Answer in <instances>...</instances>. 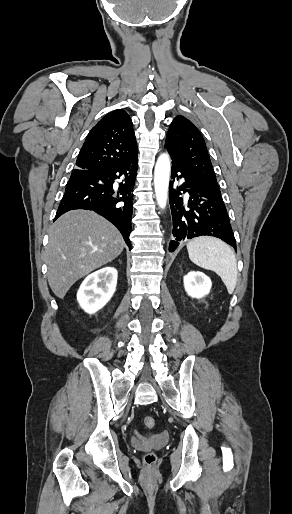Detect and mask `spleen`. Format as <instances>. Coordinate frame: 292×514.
<instances>
[{
	"label": "spleen",
	"instance_id": "1",
	"mask_svg": "<svg viewBox=\"0 0 292 514\" xmlns=\"http://www.w3.org/2000/svg\"><path fill=\"white\" fill-rule=\"evenodd\" d=\"M187 250L193 264L216 272L224 282L228 294H233L238 278L237 260L228 244L218 238L200 236L188 242Z\"/></svg>",
	"mask_w": 292,
	"mask_h": 514
}]
</instances>
